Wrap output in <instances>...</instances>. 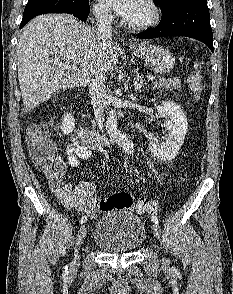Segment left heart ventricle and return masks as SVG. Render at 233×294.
Masks as SVG:
<instances>
[{"label": "left heart ventricle", "mask_w": 233, "mask_h": 294, "mask_svg": "<svg viewBox=\"0 0 233 294\" xmlns=\"http://www.w3.org/2000/svg\"><path fill=\"white\" fill-rule=\"evenodd\" d=\"M147 17H148V9L145 6V4L142 2L137 12L130 19H128V21L137 23V22H141L145 20Z\"/></svg>", "instance_id": "1"}]
</instances>
